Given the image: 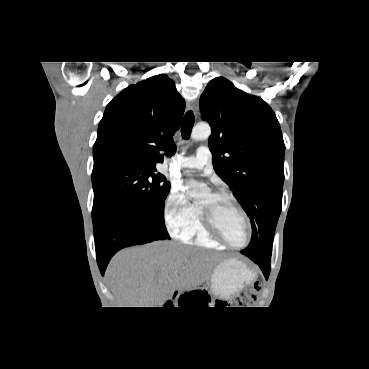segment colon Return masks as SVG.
Masks as SVG:
<instances>
[{
  "mask_svg": "<svg viewBox=\"0 0 369 369\" xmlns=\"http://www.w3.org/2000/svg\"><path fill=\"white\" fill-rule=\"evenodd\" d=\"M260 283H256L250 290L241 293L237 300L234 302L236 307H249L256 300V295L260 291Z\"/></svg>",
  "mask_w": 369,
  "mask_h": 369,
  "instance_id": "5ec220e1",
  "label": "colon"
}]
</instances>
